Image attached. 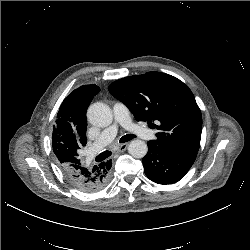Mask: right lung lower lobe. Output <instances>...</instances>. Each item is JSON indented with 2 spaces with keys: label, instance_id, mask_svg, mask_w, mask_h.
<instances>
[{
  "label": "right lung lower lobe",
  "instance_id": "1",
  "mask_svg": "<svg viewBox=\"0 0 250 250\" xmlns=\"http://www.w3.org/2000/svg\"><path fill=\"white\" fill-rule=\"evenodd\" d=\"M111 160L101 162L95 166L84 163L61 167L66 178L79 190L94 192L102 189L109 180Z\"/></svg>",
  "mask_w": 250,
  "mask_h": 250
}]
</instances>
